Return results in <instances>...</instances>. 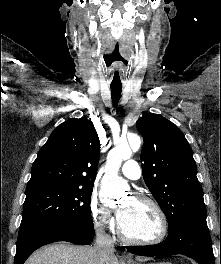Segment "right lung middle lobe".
Masks as SVG:
<instances>
[{
  "mask_svg": "<svg viewBox=\"0 0 221 264\" xmlns=\"http://www.w3.org/2000/svg\"><path fill=\"white\" fill-rule=\"evenodd\" d=\"M93 187L45 185L26 190L20 229L30 226L92 225Z\"/></svg>",
  "mask_w": 221,
  "mask_h": 264,
  "instance_id": "dd1d6c3e",
  "label": "right lung middle lobe"
}]
</instances>
